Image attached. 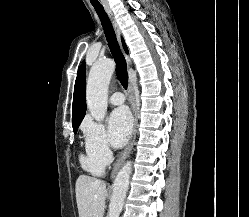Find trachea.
Instances as JSON below:
<instances>
[{
	"label": "trachea",
	"instance_id": "trachea-1",
	"mask_svg": "<svg viewBox=\"0 0 249 217\" xmlns=\"http://www.w3.org/2000/svg\"><path fill=\"white\" fill-rule=\"evenodd\" d=\"M94 9L100 18L108 46L116 63V76L124 88H126L128 84L126 60L120 50L112 24L103 6H94Z\"/></svg>",
	"mask_w": 249,
	"mask_h": 217
}]
</instances>
